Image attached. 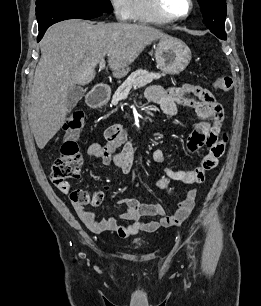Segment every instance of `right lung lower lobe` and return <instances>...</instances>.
I'll use <instances>...</instances> for the list:
<instances>
[{
    "label": "right lung lower lobe",
    "instance_id": "obj_1",
    "mask_svg": "<svg viewBox=\"0 0 261 306\" xmlns=\"http://www.w3.org/2000/svg\"><path fill=\"white\" fill-rule=\"evenodd\" d=\"M102 14L103 13L100 12L75 11L51 7H36V17L39 28L37 41L39 42L41 40L48 27L54 23L74 18L93 19L101 16Z\"/></svg>",
    "mask_w": 261,
    "mask_h": 306
}]
</instances>
